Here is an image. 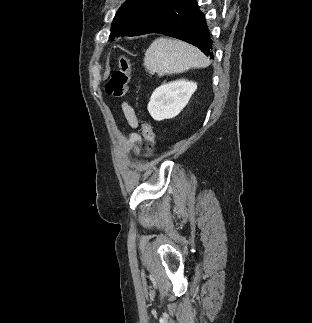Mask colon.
<instances>
[{
  "label": "colon",
  "instance_id": "5ec220e1",
  "mask_svg": "<svg viewBox=\"0 0 312 323\" xmlns=\"http://www.w3.org/2000/svg\"><path fill=\"white\" fill-rule=\"evenodd\" d=\"M131 73V60L123 55L118 60V69H116L107 82V93L115 98L125 96L129 90V75ZM144 141L152 146L155 143V134L152 125L149 122H144L141 127Z\"/></svg>",
  "mask_w": 312,
  "mask_h": 323
}]
</instances>
